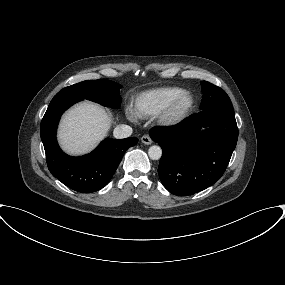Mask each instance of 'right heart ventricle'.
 <instances>
[{
	"instance_id": "right-heart-ventricle-1",
	"label": "right heart ventricle",
	"mask_w": 285,
	"mask_h": 285,
	"mask_svg": "<svg viewBox=\"0 0 285 285\" xmlns=\"http://www.w3.org/2000/svg\"><path fill=\"white\" fill-rule=\"evenodd\" d=\"M185 92L183 88L167 86L138 94L133 100V111L138 117L146 118L160 114L177 96Z\"/></svg>"
}]
</instances>
